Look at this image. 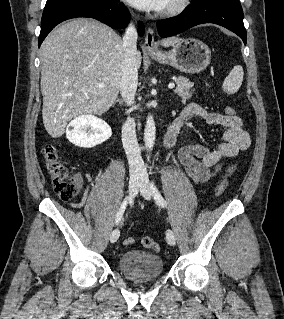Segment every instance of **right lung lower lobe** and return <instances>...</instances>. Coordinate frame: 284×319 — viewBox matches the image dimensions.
I'll list each match as a JSON object with an SVG mask.
<instances>
[{"instance_id": "98d812e1", "label": "right lung lower lobe", "mask_w": 284, "mask_h": 319, "mask_svg": "<svg viewBox=\"0 0 284 319\" xmlns=\"http://www.w3.org/2000/svg\"><path fill=\"white\" fill-rule=\"evenodd\" d=\"M76 17L97 19L112 28H123L130 19L129 12L119 0H64L45 6L41 20L38 46L48 33L59 23ZM144 26L139 22L138 33L144 34Z\"/></svg>"}]
</instances>
